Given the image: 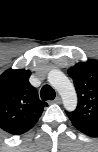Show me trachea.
Listing matches in <instances>:
<instances>
[{
  "label": "trachea",
  "instance_id": "trachea-1",
  "mask_svg": "<svg viewBox=\"0 0 98 152\" xmlns=\"http://www.w3.org/2000/svg\"><path fill=\"white\" fill-rule=\"evenodd\" d=\"M40 96L42 100H53L56 96L55 90L49 86L44 85L40 91Z\"/></svg>",
  "mask_w": 98,
  "mask_h": 152
}]
</instances>
